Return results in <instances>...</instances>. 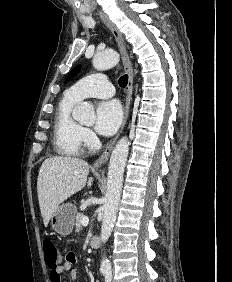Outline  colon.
<instances>
[{
	"instance_id": "colon-1",
	"label": "colon",
	"mask_w": 232,
	"mask_h": 282,
	"mask_svg": "<svg viewBox=\"0 0 232 282\" xmlns=\"http://www.w3.org/2000/svg\"><path fill=\"white\" fill-rule=\"evenodd\" d=\"M43 252L47 267L50 271H54L60 263V255L54 242L48 239L44 240Z\"/></svg>"
}]
</instances>
